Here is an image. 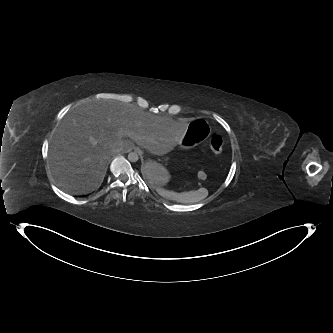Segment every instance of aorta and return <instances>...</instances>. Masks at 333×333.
<instances>
[{
	"label": "aorta",
	"mask_w": 333,
	"mask_h": 333,
	"mask_svg": "<svg viewBox=\"0 0 333 333\" xmlns=\"http://www.w3.org/2000/svg\"><path fill=\"white\" fill-rule=\"evenodd\" d=\"M138 159H139V155H138L136 152H130V153L128 154V160H129L130 162H137Z\"/></svg>",
	"instance_id": "762f6f07"
}]
</instances>
